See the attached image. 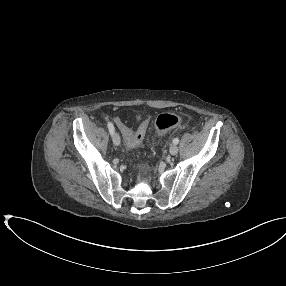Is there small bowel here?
<instances>
[{
    "mask_svg": "<svg viewBox=\"0 0 286 286\" xmlns=\"http://www.w3.org/2000/svg\"><path fill=\"white\" fill-rule=\"evenodd\" d=\"M113 120L116 123V125L120 128L125 140L128 136L134 133L133 129L127 126L126 124H124L120 118L115 117ZM144 123L148 124V121H143L142 124Z\"/></svg>",
    "mask_w": 286,
    "mask_h": 286,
    "instance_id": "obj_1",
    "label": "small bowel"
}]
</instances>
